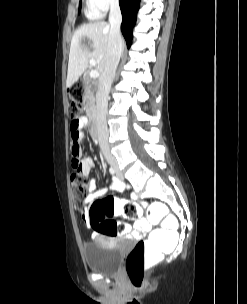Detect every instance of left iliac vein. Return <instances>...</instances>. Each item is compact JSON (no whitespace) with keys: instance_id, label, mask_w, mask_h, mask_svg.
<instances>
[{"instance_id":"4c4485c4","label":"left iliac vein","mask_w":247,"mask_h":304,"mask_svg":"<svg viewBox=\"0 0 247 304\" xmlns=\"http://www.w3.org/2000/svg\"><path fill=\"white\" fill-rule=\"evenodd\" d=\"M116 177L119 180H123L124 179L123 174L120 172V170L117 167H116Z\"/></svg>"}]
</instances>
